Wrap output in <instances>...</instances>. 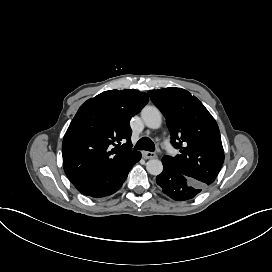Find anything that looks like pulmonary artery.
Masks as SVG:
<instances>
[{
    "label": "pulmonary artery",
    "mask_w": 272,
    "mask_h": 272,
    "mask_svg": "<svg viewBox=\"0 0 272 272\" xmlns=\"http://www.w3.org/2000/svg\"><path fill=\"white\" fill-rule=\"evenodd\" d=\"M163 132H164L165 134H167V135L170 133V132H169L168 130H166V129H165ZM162 146H163V148L166 150V152L169 153V155H171V156L176 155L177 150H176V148H174V146L172 145L170 139H168V138L163 139V141H162Z\"/></svg>",
    "instance_id": "obj_1"
}]
</instances>
